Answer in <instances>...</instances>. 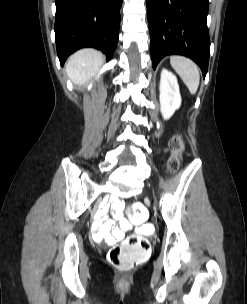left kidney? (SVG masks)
<instances>
[{
	"mask_svg": "<svg viewBox=\"0 0 247 304\" xmlns=\"http://www.w3.org/2000/svg\"><path fill=\"white\" fill-rule=\"evenodd\" d=\"M160 105L164 119H169L181 105V96L176 76L162 69L160 79Z\"/></svg>",
	"mask_w": 247,
	"mask_h": 304,
	"instance_id": "obj_1",
	"label": "left kidney"
}]
</instances>
